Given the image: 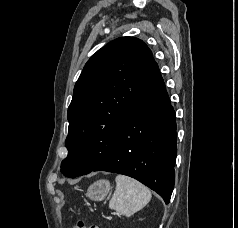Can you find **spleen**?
<instances>
[{"label": "spleen", "mask_w": 238, "mask_h": 228, "mask_svg": "<svg viewBox=\"0 0 238 228\" xmlns=\"http://www.w3.org/2000/svg\"><path fill=\"white\" fill-rule=\"evenodd\" d=\"M115 181L116 189L109 207L120 215L131 217L151 200L150 190L139 181L125 175H118Z\"/></svg>", "instance_id": "obj_1"}]
</instances>
